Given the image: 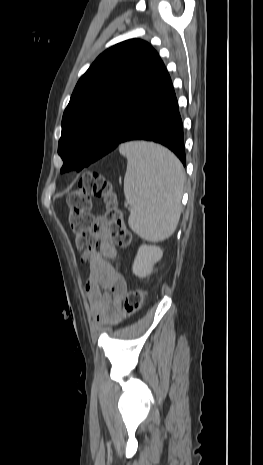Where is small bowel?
<instances>
[{
	"mask_svg": "<svg viewBox=\"0 0 263 465\" xmlns=\"http://www.w3.org/2000/svg\"><path fill=\"white\" fill-rule=\"evenodd\" d=\"M96 235L100 243L91 261L86 291L94 321L110 324L121 318V300L127 292V285L123 275L109 262L116 257L117 250L110 242L107 229L100 226ZM127 325L126 322L118 323L119 327Z\"/></svg>",
	"mask_w": 263,
	"mask_h": 465,
	"instance_id": "obj_1",
	"label": "small bowel"
}]
</instances>
